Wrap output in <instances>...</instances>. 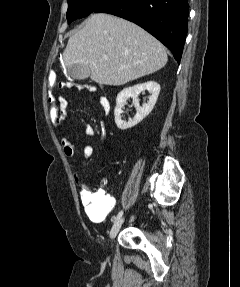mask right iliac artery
<instances>
[{"mask_svg": "<svg viewBox=\"0 0 240 287\" xmlns=\"http://www.w3.org/2000/svg\"><path fill=\"white\" fill-rule=\"evenodd\" d=\"M122 215H123V211L121 210V211L117 214V216L115 217V221H117L118 219H120V218L122 217Z\"/></svg>", "mask_w": 240, "mask_h": 287, "instance_id": "obj_1", "label": "right iliac artery"}]
</instances>
